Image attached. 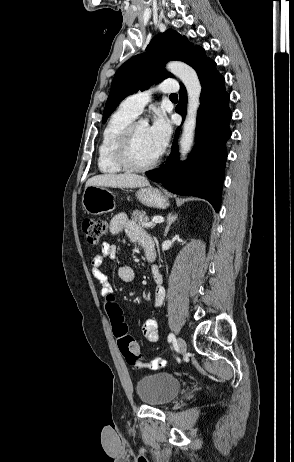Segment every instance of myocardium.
Instances as JSON below:
<instances>
[{"mask_svg":"<svg viewBox=\"0 0 294 462\" xmlns=\"http://www.w3.org/2000/svg\"><path fill=\"white\" fill-rule=\"evenodd\" d=\"M141 123L132 121L120 133L114 148V159L124 170L131 172H143L152 169L161 158V153L146 164H137L132 159V142L134 133Z\"/></svg>","mask_w":294,"mask_h":462,"instance_id":"myocardium-1","label":"myocardium"}]
</instances>
